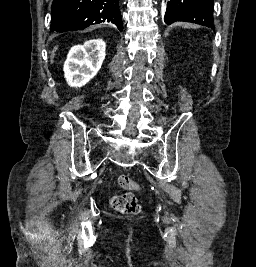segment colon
Listing matches in <instances>:
<instances>
[{
	"mask_svg": "<svg viewBox=\"0 0 256 267\" xmlns=\"http://www.w3.org/2000/svg\"><path fill=\"white\" fill-rule=\"evenodd\" d=\"M118 184L124 189L134 190L137 188V185L131 180L130 176L126 174L118 177ZM133 195V193H125L120 194V196H112L109 200L110 208L119 214H137L140 206Z\"/></svg>",
	"mask_w": 256,
	"mask_h": 267,
	"instance_id": "1",
	"label": "colon"
}]
</instances>
